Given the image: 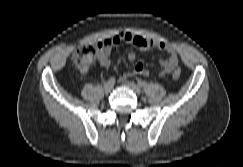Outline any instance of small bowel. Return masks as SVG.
Listing matches in <instances>:
<instances>
[{"label": "small bowel", "instance_id": "obj_1", "mask_svg": "<svg viewBox=\"0 0 243 167\" xmlns=\"http://www.w3.org/2000/svg\"><path fill=\"white\" fill-rule=\"evenodd\" d=\"M121 42L131 43L140 52H145L153 48L165 51L167 53V56L159 61V65L162 68L160 71V76H165L170 74L177 67L178 55L175 49L170 44L163 41L154 40L148 37L135 35L130 32H120L114 35L112 38L106 39L102 42V46L97 53V59L99 64L103 68L110 67L111 50L115 45ZM126 57L129 61H134L138 58V54L134 51H129ZM133 74L148 75L149 71L144 67L142 63H137L134 66L132 72L121 75L120 81L123 83L124 81L127 80L129 76Z\"/></svg>", "mask_w": 243, "mask_h": 167}]
</instances>
